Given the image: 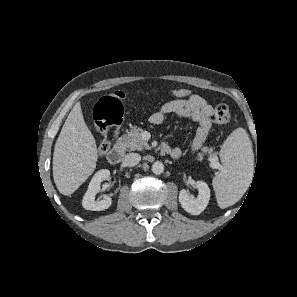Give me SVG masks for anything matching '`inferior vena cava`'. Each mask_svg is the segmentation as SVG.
<instances>
[{
  "label": "inferior vena cava",
  "mask_w": 297,
  "mask_h": 297,
  "mask_svg": "<svg viewBox=\"0 0 297 297\" xmlns=\"http://www.w3.org/2000/svg\"><path fill=\"white\" fill-rule=\"evenodd\" d=\"M141 160V156L138 153H129L124 158L126 166L132 167L137 165Z\"/></svg>",
  "instance_id": "602c4592"
}]
</instances>
